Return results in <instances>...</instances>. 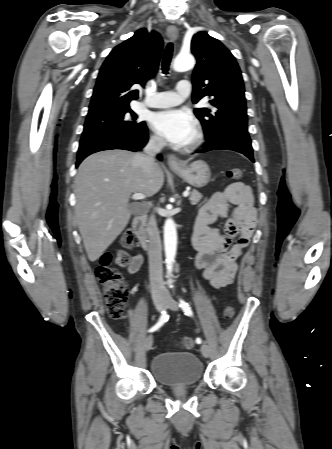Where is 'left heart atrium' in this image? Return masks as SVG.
Instances as JSON below:
<instances>
[{"label":"left heart atrium","mask_w":332,"mask_h":449,"mask_svg":"<svg viewBox=\"0 0 332 449\" xmlns=\"http://www.w3.org/2000/svg\"><path fill=\"white\" fill-rule=\"evenodd\" d=\"M151 125L159 135L177 146L187 145L196 130L193 117L184 110L157 112L152 117Z\"/></svg>","instance_id":"left-heart-atrium-1"}]
</instances>
